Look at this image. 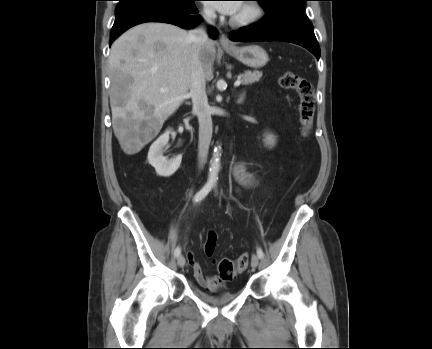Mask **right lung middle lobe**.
<instances>
[{
	"label": "right lung middle lobe",
	"mask_w": 432,
	"mask_h": 349,
	"mask_svg": "<svg viewBox=\"0 0 432 349\" xmlns=\"http://www.w3.org/2000/svg\"><path fill=\"white\" fill-rule=\"evenodd\" d=\"M119 1H120V4H123V3L129 2V1H132V0H119ZM170 1L179 2V1H182V0H170Z\"/></svg>",
	"instance_id": "1"
}]
</instances>
